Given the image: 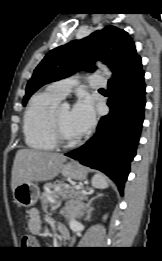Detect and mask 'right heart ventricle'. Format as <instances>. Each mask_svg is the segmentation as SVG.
Instances as JSON below:
<instances>
[{
	"label": "right heart ventricle",
	"instance_id": "obj_1",
	"mask_svg": "<svg viewBox=\"0 0 162 261\" xmlns=\"http://www.w3.org/2000/svg\"><path fill=\"white\" fill-rule=\"evenodd\" d=\"M61 99L48 89L35 93L24 113L23 133L26 144L38 151L56 147L50 129V114Z\"/></svg>",
	"mask_w": 162,
	"mask_h": 261
}]
</instances>
